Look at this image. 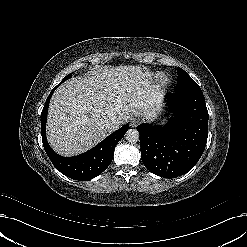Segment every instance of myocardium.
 Segmentation results:
<instances>
[{"instance_id": "f54148a6", "label": "myocardium", "mask_w": 247, "mask_h": 247, "mask_svg": "<svg viewBox=\"0 0 247 247\" xmlns=\"http://www.w3.org/2000/svg\"><path fill=\"white\" fill-rule=\"evenodd\" d=\"M159 83L161 85H166L168 83V77L165 74L159 76Z\"/></svg>"}]
</instances>
